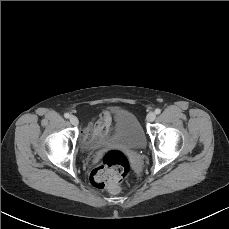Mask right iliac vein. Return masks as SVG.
I'll return each mask as SVG.
<instances>
[{"label": "right iliac vein", "instance_id": "63e3f726", "mask_svg": "<svg viewBox=\"0 0 229 229\" xmlns=\"http://www.w3.org/2000/svg\"><path fill=\"white\" fill-rule=\"evenodd\" d=\"M69 120H70L71 124H73L74 126L79 124V120L76 116H71Z\"/></svg>", "mask_w": 229, "mask_h": 229}]
</instances>
